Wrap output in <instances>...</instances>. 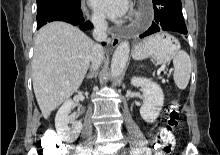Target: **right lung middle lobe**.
I'll return each instance as SVG.
<instances>
[{
  "label": "right lung middle lobe",
  "mask_w": 220,
  "mask_h": 155,
  "mask_svg": "<svg viewBox=\"0 0 220 155\" xmlns=\"http://www.w3.org/2000/svg\"><path fill=\"white\" fill-rule=\"evenodd\" d=\"M61 5L76 7L80 5V0H37L38 12Z\"/></svg>",
  "instance_id": "right-lung-middle-lobe-1"
}]
</instances>
